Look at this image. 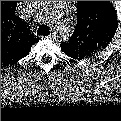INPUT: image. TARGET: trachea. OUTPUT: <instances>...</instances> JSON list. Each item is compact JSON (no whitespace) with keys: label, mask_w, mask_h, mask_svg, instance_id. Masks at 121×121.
<instances>
[{"label":"trachea","mask_w":121,"mask_h":121,"mask_svg":"<svg viewBox=\"0 0 121 121\" xmlns=\"http://www.w3.org/2000/svg\"><path fill=\"white\" fill-rule=\"evenodd\" d=\"M47 31H48L47 26L42 25V26H40V27L38 28L37 34L45 35V34H47Z\"/></svg>","instance_id":"1"}]
</instances>
